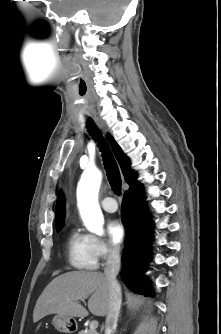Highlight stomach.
I'll list each match as a JSON object with an SVG mask.
<instances>
[{"instance_id":"1","label":"stomach","mask_w":221,"mask_h":334,"mask_svg":"<svg viewBox=\"0 0 221 334\" xmlns=\"http://www.w3.org/2000/svg\"><path fill=\"white\" fill-rule=\"evenodd\" d=\"M52 324L58 331L63 333H70L77 328V325L72 318L64 317L59 314L54 316Z\"/></svg>"}]
</instances>
